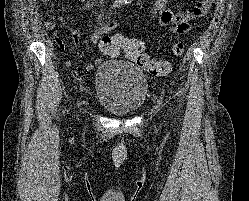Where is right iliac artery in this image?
I'll return each mask as SVG.
<instances>
[{"label": "right iliac artery", "instance_id": "obj_1", "mask_svg": "<svg viewBox=\"0 0 249 201\" xmlns=\"http://www.w3.org/2000/svg\"><path fill=\"white\" fill-rule=\"evenodd\" d=\"M126 3H127V0H116L112 7H120L121 5L126 4Z\"/></svg>", "mask_w": 249, "mask_h": 201}]
</instances>
